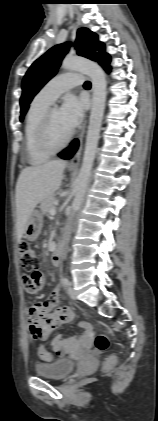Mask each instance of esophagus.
<instances>
[{"label": "esophagus", "mask_w": 158, "mask_h": 421, "mask_svg": "<svg viewBox=\"0 0 158 421\" xmlns=\"http://www.w3.org/2000/svg\"><path fill=\"white\" fill-rule=\"evenodd\" d=\"M86 125H87V122H85V124L82 128V131H81V133L78 137L79 147H78L77 151L75 152V154L73 155V157L71 158V160L69 161V163H68L69 167L76 168L79 165L82 150H83V140H84V136H85V132H86Z\"/></svg>", "instance_id": "esophagus-1"}]
</instances>
